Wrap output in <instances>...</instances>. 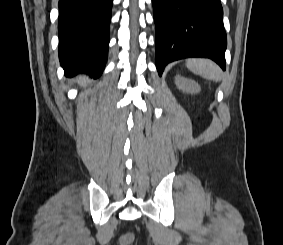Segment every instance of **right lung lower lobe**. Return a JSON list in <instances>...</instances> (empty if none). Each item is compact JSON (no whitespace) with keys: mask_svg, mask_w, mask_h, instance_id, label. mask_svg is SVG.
<instances>
[{"mask_svg":"<svg viewBox=\"0 0 283 245\" xmlns=\"http://www.w3.org/2000/svg\"><path fill=\"white\" fill-rule=\"evenodd\" d=\"M113 0H59V58L65 75L102 73Z\"/></svg>","mask_w":283,"mask_h":245,"instance_id":"right-lung-lower-lobe-1","label":"right lung lower lobe"}]
</instances>
